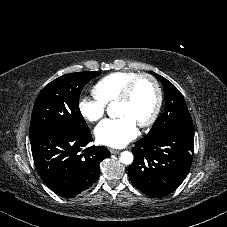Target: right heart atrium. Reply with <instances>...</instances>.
Wrapping results in <instances>:
<instances>
[{
    "label": "right heart atrium",
    "mask_w": 227,
    "mask_h": 227,
    "mask_svg": "<svg viewBox=\"0 0 227 227\" xmlns=\"http://www.w3.org/2000/svg\"><path fill=\"white\" fill-rule=\"evenodd\" d=\"M78 108L84 119L95 122L103 117L106 105L97 95L92 94L81 97Z\"/></svg>",
    "instance_id": "d8ad5b80"
}]
</instances>
